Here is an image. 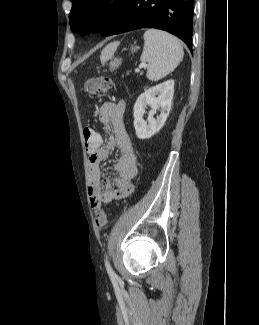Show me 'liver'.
Wrapping results in <instances>:
<instances>
[{
	"label": "liver",
	"instance_id": "6515ba94",
	"mask_svg": "<svg viewBox=\"0 0 259 325\" xmlns=\"http://www.w3.org/2000/svg\"><path fill=\"white\" fill-rule=\"evenodd\" d=\"M116 48H117L116 42L108 44L101 52L100 61L102 63L106 62L112 56Z\"/></svg>",
	"mask_w": 259,
	"mask_h": 325
}]
</instances>
